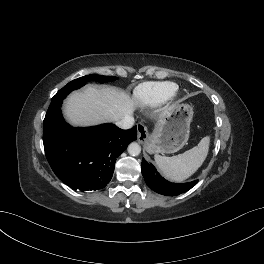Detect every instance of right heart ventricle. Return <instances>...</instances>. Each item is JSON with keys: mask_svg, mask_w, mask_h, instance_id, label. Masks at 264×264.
<instances>
[{"mask_svg": "<svg viewBox=\"0 0 264 264\" xmlns=\"http://www.w3.org/2000/svg\"><path fill=\"white\" fill-rule=\"evenodd\" d=\"M177 90V84L171 81H152L140 84L134 91V97L143 107L156 106Z\"/></svg>", "mask_w": 264, "mask_h": 264, "instance_id": "1", "label": "right heart ventricle"}]
</instances>
